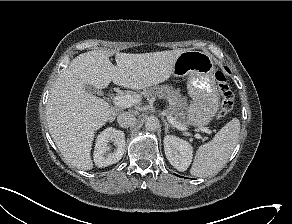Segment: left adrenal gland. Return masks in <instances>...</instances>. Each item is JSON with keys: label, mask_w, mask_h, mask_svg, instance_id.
Segmentation results:
<instances>
[{"label": "left adrenal gland", "mask_w": 292, "mask_h": 224, "mask_svg": "<svg viewBox=\"0 0 292 224\" xmlns=\"http://www.w3.org/2000/svg\"><path fill=\"white\" fill-rule=\"evenodd\" d=\"M165 125V134L168 133L169 128H173L165 119L163 120Z\"/></svg>", "instance_id": "obj_1"}]
</instances>
